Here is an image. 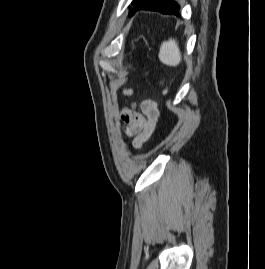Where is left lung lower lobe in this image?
<instances>
[{
	"label": "left lung lower lobe",
	"instance_id": "obj_1",
	"mask_svg": "<svg viewBox=\"0 0 265 269\" xmlns=\"http://www.w3.org/2000/svg\"><path fill=\"white\" fill-rule=\"evenodd\" d=\"M180 6L172 0H146L137 10L158 11L163 14L179 15ZM135 11L131 12V16Z\"/></svg>",
	"mask_w": 265,
	"mask_h": 269
}]
</instances>
